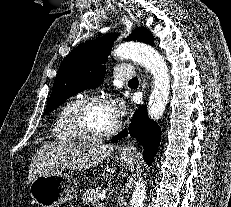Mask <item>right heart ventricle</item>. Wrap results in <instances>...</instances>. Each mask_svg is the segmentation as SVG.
Instances as JSON below:
<instances>
[{"label":"right heart ventricle","mask_w":231,"mask_h":207,"mask_svg":"<svg viewBox=\"0 0 231 207\" xmlns=\"http://www.w3.org/2000/svg\"><path fill=\"white\" fill-rule=\"evenodd\" d=\"M75 103L74 99L66 102L57 112L54 124H53V135L54 138L61 142H76L80 141V138L73 131L70 121L69 113Z\"/></svg>","instance_id":"obj_1"}]
</instances>
